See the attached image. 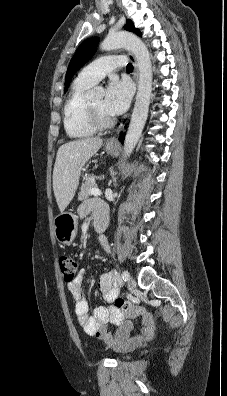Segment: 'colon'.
<instances>
[{"instance_id":"colon-1","label":"colon","mask_w":227,"mask_h":396,"mask_svg":"<svg viewBox=\"0 0 227 396\" xmlns=\"http://www.w3.org/2000/svg\"><path fill=\"white\" fill-rule=\"evenodd\" d=\"M59 265L63 274L64 281L67 283L72 282L76 276L77 271L76 260L68 256H63L59 260ZM115 304L117 307L121 308L125 306L126 301L122 298H119L116 300Z\"/></svg>"}]
</instances>
